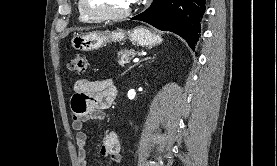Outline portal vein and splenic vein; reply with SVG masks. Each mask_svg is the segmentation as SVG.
I'll return each instance as SVG.
<instances>
[{
	"label": "portal vein and splenic vein",
	"instance_id": "portal-vein-and-splenic-vein-1",
	"mask_svg": "<svg viewBox=\"0 0 277 166\" xmlns=\"http://www.w3.org/2000/svg\"><path fill=\"white\" fill-rule=\"evenodd\" d=\"M138 61H139V58H135V59L133 60L134 63H136V62H138Z\"/></svg>",
	"mask_w": 277,
	"mask_h": 166
}]
</instances>
